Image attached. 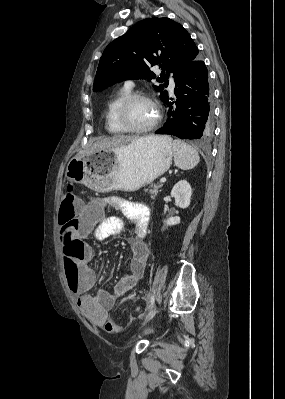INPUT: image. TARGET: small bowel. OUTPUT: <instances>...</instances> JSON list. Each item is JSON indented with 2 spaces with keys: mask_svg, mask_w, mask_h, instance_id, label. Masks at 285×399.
Here are the masks:
<instances>
[{
  "mask_svg": "<svg viewBox=\"0 0 285 399\" xmlns=\"http://www.w3.org/2000/svg\"><path fill=\"white\" fill-rule=\"evenodd\" d=\"M109 206L119 208L124 218L132 223V234L128 237L131 251L130 270L124 273L112 292L99 289L95 296L89 294L97 278L89 265L92 257L90 247H85V259L78 278L69 282V288L77 300L79 310L85 314L97 326L104 327L108 332L116 334L122 327L115 320L109 319L108 310L112 308L116 301L133 289L137 282L142 278L147 266L149 252L144 237L147 234V225L150 219L149 211L144 203L129 199H116L112 202L99 199L95 202L94 208L103 212ZM80 209L77 208L73 222L81 226L79 234L83 235L90 231L86 221L80 216ZM125 231L124 220L116 216L103 215L99 224L94 229L96 240H104L108 237L120 235ZM60 238L65 246L75 237L65 229L61 228Z\"/></svg>",
  "mask_w": 285,
  "mask_h": 399,
  "instance_id": "small-bowel-1",
  "label": "small bowel"
}]
</instances>
